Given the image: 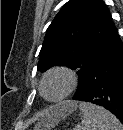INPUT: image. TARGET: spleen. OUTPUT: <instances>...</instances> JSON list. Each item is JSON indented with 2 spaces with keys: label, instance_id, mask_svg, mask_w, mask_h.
<instances>
[{
  "label": "spleen",
  "instance_id": "obj_1",
  "mask_svg": "<svg viewBox=\"0 0 123 130\" xmlns=\"http://www.w3.org/2000/svg\"><path fill=\"white\" fill-rule=\"evenodd\" d=\"M79 109L82 120L74 130H123L121 122L103 107L82 102Z\"/></svg>",
  "mask_w": 123,
  "mask_h": 130
}]
</instances>
